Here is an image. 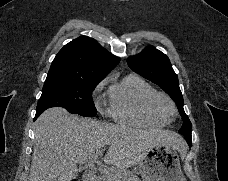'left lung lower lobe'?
Instances as JSON below:
<instances>
[{"instance_id":"obj_1","label":"left lung lower lobe","mask_w":228,"mask_h":181,"mask_svg":"<svg viewBox=\"0 0 228 181\" xmlns=\"http://www.w3.org/2000/svg\"><path fill=\"white\" fill-rule=\"evenodd\" d=\"M188 143L189 146H192V141H191V133L190 134H185L183 135Z\"/></svg>"}]
</instances>
